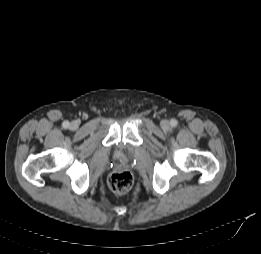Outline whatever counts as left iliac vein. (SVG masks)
Masks as SVG:
<instances>
[{
  "mask_svg": "<svg viewBox=\"0 0 261 254\" xmlns=\"http://www.w3.org/2000/svg\"><path fill=\"white\" fill-rule=\"evenodd\" d=\"M161 127L163 130H168L170 128V123L168 120L161 121Z\"/></svg>",
  "mask_w": 261,
  "mask_h": 254,
  "instance_id": "4c4485c4",
  "label": "left iliac vein"
}]
</instances>
